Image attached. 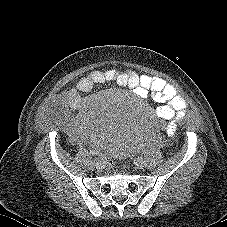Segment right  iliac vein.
<instances>
[{
    "label": "right iliac vein",
    "instance_id": "obj_1",
    "mask_svg": "<svg viewBox=\"0 0 227 227\" xmlns=\"http://www.w3.org/2000/svg\"><path fill=\"white\" fill-rule=\"evenodd\" d=\"M94 165H95L96 168H101L102 167V162L100 160H96L94 162Z\"/></svg>",
    "mask_w": 227,
    "mask_h": 227
}]
</instances>
